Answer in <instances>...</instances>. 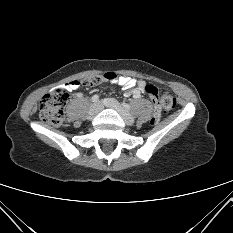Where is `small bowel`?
<instances>
[{"instance_id": "obj_1", "label": "small bowel", "mask_w": 233, "mask_h": 233, "mask_svg": "<svg viewBox=\"0 0 233 233\" xmlns=\"http://www.w3.org/2000/svg\"><path fill=\"white\" fill-rule=\"evenodd\" d=\"M104 80L111 81L110 90L116 91L117 86H121L122 89L126 90V96H133L134 98H139L142 93L148 94L152 99L153 96L145 91V86L147 83L143 80H136L134 78L126 77V76H119L115 71L106 72L103 75ZM61 88L64 91H69L70 93H73L75 90L85 91V86L77 80H71L68 82H64L61 85Z\"/></svg>"}]
</instances>
